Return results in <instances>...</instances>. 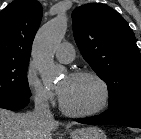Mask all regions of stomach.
<instances>
[{
    "mask_svg": "<svg viewBox=\"0 0 141 139\" xmlns=\"http://www.w3.org/2000/svg\"><path fill=\"white\" fill-rule=\"evenodd\" d=\"M71 139H107V137L100 128L90 126L71 132Z\"/></svg>",
    "mask_w": 141,
    "mask_h": 139,
    "instance_id": "0dacf381",
    "label": "stomach"
}]
</instances>
